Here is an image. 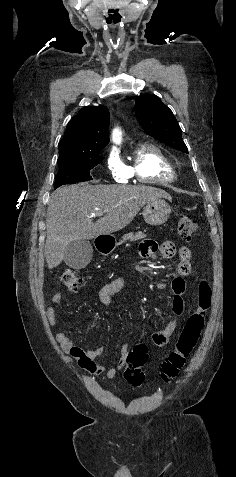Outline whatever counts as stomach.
<instances>
[{
    "label": "stomach",
    "instance_id": "0dacf381",
    "mask_svg": "<svg viewBox=\"0 0 236 477\" xmlns=\"http://www.w3.org/2000/svg\"><path fill=\"white\" fill-rule=\"evenodd\" d=\"M171 213V208L167 202L162 199H157L151 202H148L143 208V217L145 222L148 225L158 226L165 223ZM116 245H118L114 239H111V242L107 249L102 250L103 254L111 253Z\"/></svg>",
    "mask_w": 236,
    "mask_h": 477
}]
</instances>
